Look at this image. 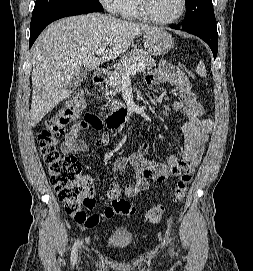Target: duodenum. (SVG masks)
<instances>
[{
  "instance_id": "obj_1",
  "label": "duodenum",
  "mask_w": 253,
  "mask_h": 271,
  "mask_svg": "<svg viewBox=\"0 0 253 271\" xmlns=\"http://www.w3.org/2000/svg\"><path fill=\"white\" fill-rule=\"evenodd\" d=\"M105 80H106L105 71L98 70L94 73L93 82L95 85L98 86L103 85ZM132 115L133 113L125 107L117 108L109 114L107 122L109 126H111L112 128H118L126 124L130 120Z\"/></svg>"
}]
</instances>
